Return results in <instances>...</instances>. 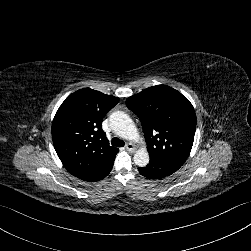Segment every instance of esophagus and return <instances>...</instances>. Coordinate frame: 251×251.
<instances>
[{
	"instance_id": "esophagus-1",
	"label": "esophagus",
	"mask_w": 251,
	"mask_h": 251,
	"mask_svg": "<svg viewBox=\"0 0 251 251\" xmlns=\"http://www.w3.org/2000/svg\"><path fill=\"white\" fill-rule=\"evenodd\" d=\"M125 148L130 152H135L137 150V146L134 143H127Z\"/></svg>"
}]
</instances>
